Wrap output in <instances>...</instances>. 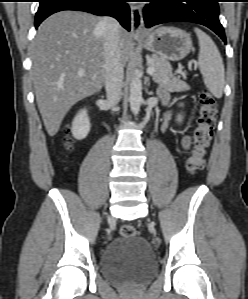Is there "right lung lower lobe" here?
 I'll list each match as a JSON object with an SVG mask.
<instances>
[{
	"label": "right lung lower lobe",
	"mask_w": 248,
	"mask_h": 299,
	"mask_svg": "<svg viewBox=\"0 0 248 299\" xmlns=\"http://www.w3.org/2000/svg\"><path fill=\"white\" fill-rule=\"evenodd\" d=\"M127 0H39L35 27L53 13L63 10L85 11L99 16H112L130 31V9Z\"/></svg>",
	"instance_id": "1"
}]
</instances>
